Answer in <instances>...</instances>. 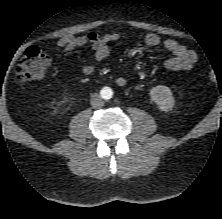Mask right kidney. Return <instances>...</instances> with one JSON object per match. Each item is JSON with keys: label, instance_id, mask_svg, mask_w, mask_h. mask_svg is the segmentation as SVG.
Here are the masks:
<instances>
[{"label": "right kidney", "instance_id": "1", "mask_svg": "<svg viewBox=\"0 0 222 219\" xmlns=\"http://www.w3.org/2000/svg\"><path fill=\"white\" fill-rule=\"evenodd\" d=\"M68 101V99L67 98H64V100L62 101L63 103H65V102H67Z\"/></svg>", "mask_w": 222, "mask_h": 219}]
</instances>
